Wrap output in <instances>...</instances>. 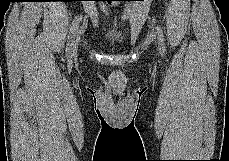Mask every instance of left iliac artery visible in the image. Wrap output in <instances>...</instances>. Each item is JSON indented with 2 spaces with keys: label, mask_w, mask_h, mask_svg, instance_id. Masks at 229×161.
Returning <instances> with one entry per match:
<instances>
[{
  "label": "left iliac artery",
  "mask_w": 229,
  "mask_h": 161,
  "mask_svg": "<svg viewBox=\"0 0 229 161\" xmlns=\"http://www.w3.org/2000/svg\"><path fill=\"white\" fill-rule=\"evenodd\" d=\"M156 30H157V35H158L160 49H161V52L163 54L164 51H165V39H164V35H163L162 29H161V27L159 25H157Z\"/></svg>",
  "instance_id": "obj_1"
}]
</instances>
